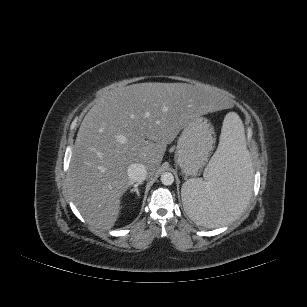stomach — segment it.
Segmentation results:
<instances>
[{"instance_id":"0dacf381","label":"stomach","mask_w":307,"mask_h":307,"mask_svg":"<svg viewBox=\"0 0 307 307\" xmlns=\"http://www.w3.org/2000/svg\"><path fill=\"white\" fill-rule=\"evenodd\" d=\"M215 143L213 126L202 116L190 119L178 139L175 162L185 177L197 176L207 164Z\"/></svg>"}]
</instances>
